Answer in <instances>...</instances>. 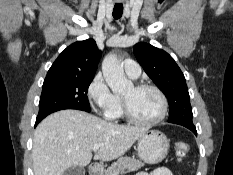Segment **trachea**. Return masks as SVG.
<instances>
[{
	"label": "trachea",
	"instance_id": "trachea-1",
	"mask_svg": "<svg viewBox=\"0 0 233 175\" xmlns=\"http://www.w3.org/2000/svg\"><path fill=\"white\" fill-rule=\"evenodd\" d=\"M123 14V5L122 4H115L113 9V17L115 19H119Z\"/></svg>",
	"mask_w": 233,
	"mask_h": 175
}]
</instances>
